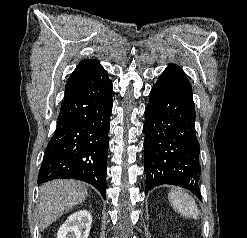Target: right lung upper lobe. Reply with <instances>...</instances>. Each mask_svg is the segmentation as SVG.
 Here are the masks:
<instances>
[{"mask_svg":"<svg viewBox=\"0 0 247 238\" xmlns=\"http://www.w3.org/2000/svg\"><path fill=\"white\" fill-rule=\"evenodd\" d=\"M102 67L95 59L82 60L76 69L70 75L65 86V95L73 91L78 85H80L88 76H90L97 69Z\"/></svg>","mask_w":247,"mask_h":238,"instance_id":"cb5924a9","label":"right lung upper lobe"}]
</instances>
